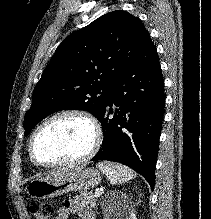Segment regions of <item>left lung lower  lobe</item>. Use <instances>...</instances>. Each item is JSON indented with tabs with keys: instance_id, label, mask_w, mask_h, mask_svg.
I'll return each mask as SVG.
<instances>
[{
	"instance_id": "0a47b994",
	"label": "left lung lower lobe",
	"mask_w": 211,
	"mask_h": 219,
	"mask_svg": "<svg viewBox=\"0 0 211 219\" xmlns=\"http://www.w3.org/2000/svg\"><path fill=\"white\" fill-rule=\"evenodd\" d=\"M113 104L117 109L109 118ZM164 104V80L156 47L149 38L107 95L97 118L103 129V144L91 161L127 165L140 173L153 190Z\"/></svg>"
}]
</instances>
